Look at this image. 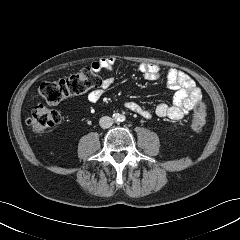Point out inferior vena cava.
I'll return each mask as SVG.
<instances>
[{"mask_svg":"<svg viewBox=\"0 0 240 240\" xmlns=\"http://www.w3.org/2000/svg\"><path fill=\"white\" fill-rule=\"evenodd\" d=\"M99 124L104 129L109 128L113 124V119L109 116H103L100 118Z\"/></svg>","mask_w":240,"mask_h":240,"instance_id":"obj_1","label":"inferior vena cava"}]
</instances>
